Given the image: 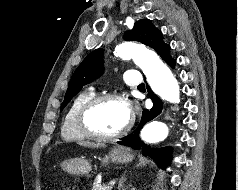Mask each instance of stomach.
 Listing matches in <instances>:
<instances>
[{"label":"stomach","instance_id":"obj_1","mask_svg":"<svg viewBox=\"0 0 238 190\" xmlns=\"http://www.w3.org/2000/svg\"><path fill=\"white\" fill-rule=\"evenodd\" d=\"M132 159L133 155L128 149L124 147H115L101 161L106 165L110 161L113 163L123 164L132 161ZM61 167L64 171L73 175H87L92 168L90 162L83 158L68 159L61 164Z\"/></svg>","mask_w":238,"mask_h":190}]
</instances>
